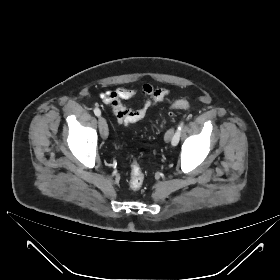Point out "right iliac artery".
<instances>
[{
    "label": "right iliac artery",
    "mask_w": 280,
    "mask_h": 280,
    "mask_svg": "<svg viewBox=\"0 0 280 280\" xmlns=\"http://www.w3.org/2000/svg\"><path fill=\"white\" fill-rule=\"evenodd\" d=\"M94 114L99 117L101 115V111L98 108H95Z\"/></svg>",
    "instance_id": "obj_1"
}]
</instances>
